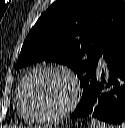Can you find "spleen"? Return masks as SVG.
<instances>
[{
  "label": "spleen",
  "instance_id": "obj_1",
  "mask_svg": "<svg viewBox=\"0 0 125 128\" xmlns=\"http://www.w3.org/2000/svg\"><path fill=\"white\" fill-rule=\"evenodd\" d=\"M91 128H112V127L97 119H91Z\"/></svg>",
  "mask_w": 125,
  "mask_h": 128
}]
</instances>
